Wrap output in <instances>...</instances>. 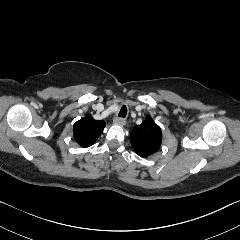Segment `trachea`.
I'll return each mask as SVG.
<instances>
[{
  "mask_svg": "<svg viewBox=\"0 0 240 240\" xmlns=\"http://www.w3.org/2000/svg\"><path fill=\"white\" fill-rule=\"evenodd\" d=\"M127 115V107L125 105L122 106L120 112L118 113L119 117L125 118Z\"/></svg>",
  "mask_w": 240,
  "mask_h": 240,
  "instance_id": "obj_1",
  "label": "trachea"
}]
</instances>
